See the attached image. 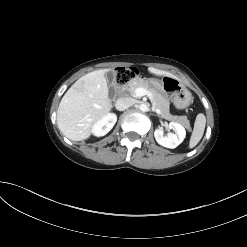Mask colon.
<instances>
[{
  "label": "colon",
  "instance_id": "1",
  "mask_svg": "<svg viewBox=\"0 0 247 247\" xmlns=\"http://www.w3.org/2000/svg\"><path fill=\"white\" fill-rule=\"evenodd\" d=\"M134 69L118 68L115 72V81L118 85L127 83L134 75Z\"/></svg>",
  "mask_w": 247,
  "mask_h": 247
}]
</instances>
